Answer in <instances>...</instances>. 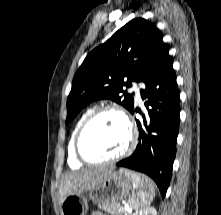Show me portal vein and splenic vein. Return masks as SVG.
Listing matches in <instances>:
<instances>
[{"label": "portal vein and splenic vein", "mask_w": 221, "mask_h": 215, "mask_svg": "<svg viewBox=\"0 0 221 215\" xmlns=\"http://www.w3.org/2000/svg\"><path fill=\"white\" fill-rule=\"evenodd\" d=\"M124 209H125V211H127V210H128V207H126V206H125V208H124Z\"/></svg>", "instance_id": "18ae733b"}]
</instances>
